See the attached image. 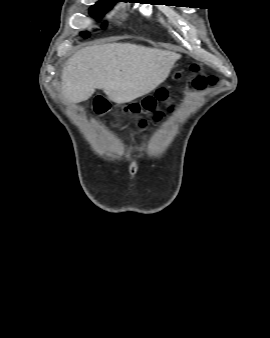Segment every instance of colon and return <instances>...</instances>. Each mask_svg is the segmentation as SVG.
Here are the masks:
<instances>
[{"instance_id": "colon-1", "label": "colon", "mask_w": 270, "mask_h": 338, "mask_svg": "<svg viewBox=\"0 0 270 338\" xmlns=\"http://www.w3.org/2000/svg\"><path fill=\"white\" fill-rule=\"evenodd\" d=\"M191 68L195 70L197 66L192 65ZM216 81H217V78L214 76H209V77L199 76L195 79V86L197 88H203L206 84L214 85ZM167 99H168V92L164 88H160L156 91L154 96H147L143 100L142 104L139 105L138 103H132L129 106V109L132 112H139L141 108H144L151 112H155L157 102H166ZM93 106L97 113L105 112L109 108L107 99L101 95L95 98ZM160 117L161 116L159 113H156V112L154 113L153 118L155 121L159 120Z\"/></svg>"}]
</instances>
